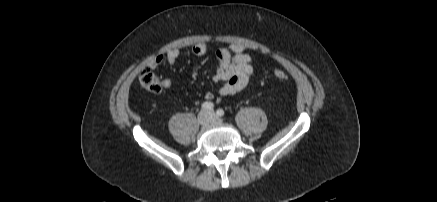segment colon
<instances>
[{"label":"colon","instance_id":"1","mask_svg":"<svg viewBox=\"0 0 437 202\" xmlns=\"http://www.w3.org/2000/svg\"><path fill=\"white\" fill-rule=\"evenodd\" d=\"M276 79L284 81L288 79V74L283 70H275L273 72ZM140 85L151 92H159L162 87V82L158 76L149 68H144L139 75Z\"/></svg>","mask_w":437,"mask_h":202}]
</instances>
